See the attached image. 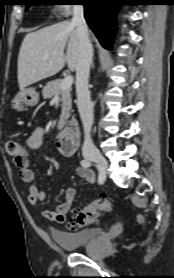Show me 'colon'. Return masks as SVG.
<instances>
[{"mask_svg":"<svg viewBox=\"0 0 174 278\" xmlns=\"http://www.w3.org/2000/svg\"><path fill=\"white\" fill-rule=\"evenodd\" d=\"M5 148L7 153L15 158H24L29 156V152L26 147L16 142H7ZM109 210L110 203L106 199L100 198L93 200L88 205L73 211L68 226L72 229H76L81 226L91 224ZM139 219L142 220L141 217Z\"/></svg>","mask_w":174,"mask_h":278,"instance_id":"obj_1","label":"colon"}]
</instances>
